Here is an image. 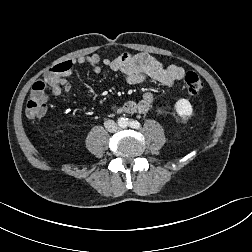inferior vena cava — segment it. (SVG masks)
Masks as SVG:
<instances>
[{"label": "inferior vena cava", "mask_w": 252, "mask_h": 252, "mask_svg": "<svg viewBox=\"0 0 252 252\" xmlns=\"http://www.w3.org/2000/svg\"><path fill=\"white\" fill-rule=\"evenodd\" d=\"M104 126L111 133L117 132L119 130L118 125L113 120L105 121Z\"/></svg>", "instance_id": "602c4592"}]
</instances>
